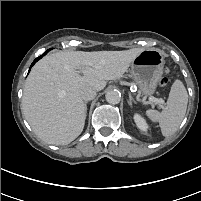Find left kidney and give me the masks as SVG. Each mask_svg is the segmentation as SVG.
Masks as SVG:
<instances>
[{"instance_id": "5707ae66", "label": "left kidney", "mask_w": 201, "mask_h": 201, "mask_svg": "<svg viewBox=\"0 0 201 201\" xmlns=\"http://www.w3.org/2000/svg\"><path fill=\"white\" fill-rule=\"evenodd\" d=\"M134 121H135L137 127H138L141 131H143V132H146V131H147L148 125H147L145 119H144L143 117H141V115L135 114V115H134Z\"/></svg>"}]
</instances>
